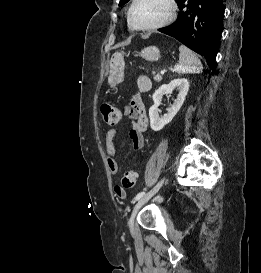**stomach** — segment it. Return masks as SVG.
Listing matches in <instances>:
<instances>
[{
  "instance_id": "1",
  "label": "stomach",
  "mask_w": 261,
  "mask_h": 273,
  "mask_svg": "<svg viewBox=\"0 0 261 273\" xmlns=\"http://www.w3.org/2000/svg\"><path fill=\"white\" fill-rule=\"evenodd\" d=\"M140 55L147 61L153 62L160 58V51L155 46L144 48ZM124 58L121 53H114L109 63L108 84L111 87L121 83L124 78Z\"/></svg>"
}]
</instances>
